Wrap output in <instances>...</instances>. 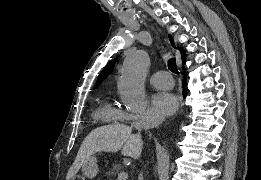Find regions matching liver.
I'll use <instances>...</instances> for the list:
<instances>
[{
    "instance_id": "obj_1",
    "label": "liver",
    "mask_w": 261,
    "mask_h": 180,
    "mask_svg": "<svg viewBox=\"0 0 261 180\" xmlns=\"http://www.w3.org/2000/svg\"><path fill=\"white\" fill-rule=\"evenodd\" d=\"M142 138L139 134H132V128L125 124H109L92 130L86 136L81 148L68 172L67 180H71L79 172L81 166L86 164L90 156L96 152H111L116 154L121 150V156L137 158L142 152Z\"/></svg>"
}]
</instances>
